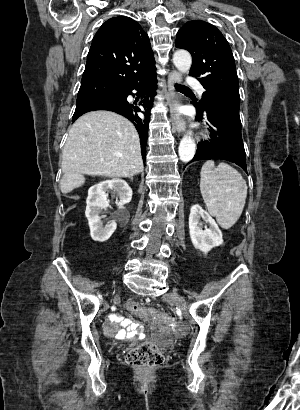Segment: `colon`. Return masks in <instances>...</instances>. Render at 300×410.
Returning <instances> with one entry per match:
<instances>
[{"mask_svg": "<svg viewBox=\"0 0 300 410\" xmlns=\"http://www.w3.org/2000/svg\"><path fill=\"white\" fill-rule=\"evenodd\" d=\"M127 307L134 313L146 316L144 320L148 324L157 327H164L173 320L171 312H160L158 308L150 309L136 302H128ZM126 361L130 366L137 369L149 370L160 365L163 356L154 343L145 342L131 349L126 355Z\"/></svg>", "mask_w": 300, "mask_h": 410, "instance_id": "5ec220e1", "label": "colon"}]
</instances>
